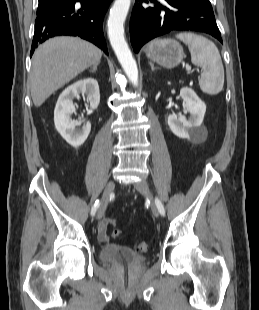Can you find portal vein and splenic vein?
Returning <instances> with one entry per match:
<instances>
[{"label":"portal vein and splenic vein","instance_id":"18ae733b","mask_svg":"<svg viewBox=\"0 0 259 310\" xmlns=\"http://www.w3.org/2000/svg\"><path fill=\"white\" fill-rule=\"evenodd\" d=\"M186 69H187L188 72H191V66L187 65Z\"/></svg>","mask_w":259,"mask_h":310}]
</instances>
